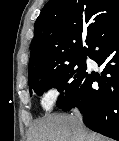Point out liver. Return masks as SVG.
Segmentation results:
<instances>
[{
	"label": "liver",
	"instance_id": "6515ba94",
	"mask_svg": "<svg viewBox=\"0 0 119 141\" xmlns=\"http://www.w3.org/2000/svg\"><path fill=\"white\" fill-rule=\"evenodd\" d=\"M29 141H108L85 128L74 115H48L32 128Z\"/></svg>",
	"mask_w": 119,
	"mask_h": 141
}]
</instances>
